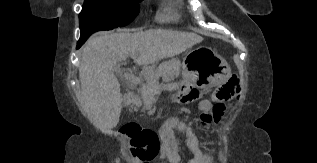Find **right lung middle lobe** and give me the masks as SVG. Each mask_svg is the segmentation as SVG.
<instances>
[{"instance_id": "obj_1", "label": "right lung middle lobe", "mask_w": 317, "mask_h": 163, "mask_svg": "<svg viewBox=\"0 0 317 163\" xmlns=\"http://www.w3.org/2000/svg\"><path fill=\"white\" fill-rule=\"evenodd\" d=\"M142 0H85L79 14L81 36L85 42L94 32L129 24L139 13Z\"/></svg>"}]
</instances>
